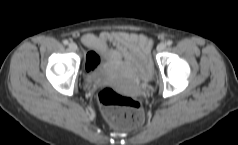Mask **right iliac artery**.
<instances>
[{
    "instance_id": "obj_1",
    "label": "right iliac artery",
    "mask_w": 238,
    "mask_h": 145,
    "mask_svg": "<svg viewBox=\"0 0 238 145\" xmlns=\"http://www.w3.org/2000/svg\"><path fill=\"white\" fill-rule=\"evenodd\" d=\"M63 43H64V45H68L69 44L68 40H64Z\"/></svg>"
}]
</instances>
